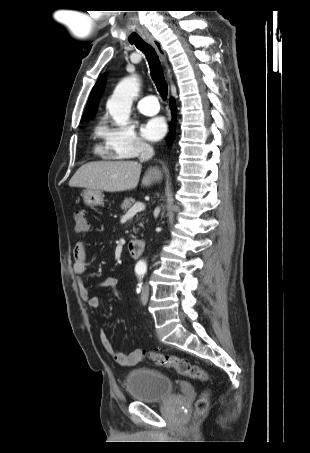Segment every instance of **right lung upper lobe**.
I'll list each match as a JSON object with an SVG mask.
<instances>
[{
  "instance_id": "cb5924a9",
  "label": "right lung upper lobe",
  "mask_w": 310,
  "mask_h": 453,
  "mask_svg": "<svg viewBox=\"0 0 310 453\" xmlns=\"http://www.w3.org/2000/svg\"><path fill=\"white\" fill-rule=\"evenodd\" d=\"M104 84H105V75L101 76L98 79V81L96 82L95 86L93 87V89L90 93L88 104H87V107L83 114V120L93 117V115L97 109V105L99 103L101 94L103 92Z\"/></svg>"
}]
</instances>
